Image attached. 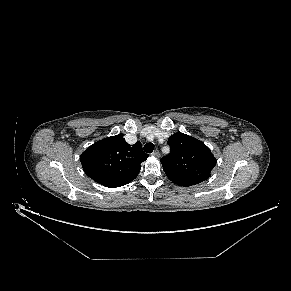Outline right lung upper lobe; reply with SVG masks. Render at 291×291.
<instances>
[{
	"instance_id": "1",
	"label": "right lung upper lobe",
	"mask_w": 291,
	"mask_h": 291,
	"mask_svg": "<svg viewBox=\"0 0 291 291\" xmlns=\"http://www.w3.org/2000/svg\"><path fill=\"white\" fill-rule=\"evenodd\" d=\"M148 158L137 142L129 145L123 134L102 139L88 147L80 156L84 172L97 183L115 188L137 177L141 162Z\"/></svg>"
}]
</instances>
